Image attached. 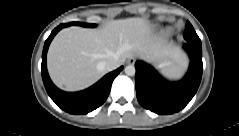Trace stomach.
Listing matches in <instances>:
<instances>
[{
  "label": "stomach",
  "mask_w": 239,
  "mask_h": 136,
  "mask_svg": "<svg viewBox=\"0 0 239 136\" xmlns=\"http://www.w3.org/2000/svg\"><path fill=\"white\" fill-rule=\"evenodd\" d=\"M165 64H167V61H166V60H164V61L162 62V65H165Z\"/></svg>",
  "instance_id": "stomach-1"
}]
</instances>
